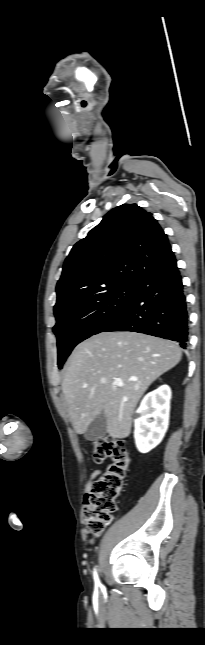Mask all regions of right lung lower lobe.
I'll return each mask as SVG.
<instances>
[{"mask_svg": "<svg viewBox=\"0 0 205 645\" xmlns=\"http://www.w3.org/2000/svg\"><path fill=\"white\" fill-rule=\"evenodd\" d=\"M176 259L155 268L135 284L133 303L106 331H133L188 346L186 297Z\"/></svg>", "mask_w": 205, "mask_h": 645, "instance_id": "right-lung-lower-lobe-1", "label": "right lung lower lobe"}]
</instances>
